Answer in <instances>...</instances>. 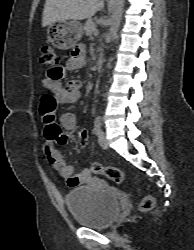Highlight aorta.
Segmentation results:
<instances>
[{
	"label": "aorta",
	"mask_w": 194,
	"mask_h": 250,
	"mask_svg": "<svg viewBox=\"0 0 194 250\" xmlns=\"http://www.w3.org/2000/svg\"><path fill=\"white\" fill-rule=\"evenodd\" d=\"M123 6H124V0H114L112 7V16L110 20V29H109L110 42H112L117 35L121 21Z\"/></svg>",
	"instance_id": "obj_1"
}]
</instances>
